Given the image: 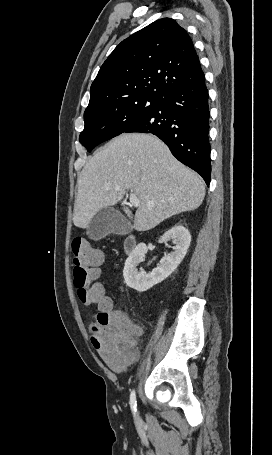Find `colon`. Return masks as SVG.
<instances>
[{
	"label": "colon",
	"mask_w": 272,
	"mask_h": 455,
	"mask_svg": "<svg viewBox=\"0 0 272 455\" xmlns=\"http://www.w3.org/2000/svg\"><path fill=\"white\" fill-rule=\"evenodd\" d=\"M71 251L78 298L100 309L91 327L92 345L109 367H124L132 358L131 348L139 329L124 316L112 312V300L105 296L102 285L94 282L103 261L102 252L80 237L73 239Z\"/></svg>",
	"instance_id": "1"
}]
</instances>
